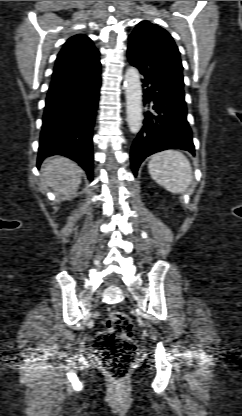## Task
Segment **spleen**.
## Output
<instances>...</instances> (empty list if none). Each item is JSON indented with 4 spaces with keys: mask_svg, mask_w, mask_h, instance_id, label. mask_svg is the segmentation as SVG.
Segmentation results:
<instances>
[{
    "mask_svg": "<svg viewBox=\"0 0 242 416\" xmlns=\"http://www.w3.org/2000/svg\"><path fill=\"white\" fill-rule=\"evenodd\" d=\"M149 174L154 181L172 193H184L192 182V167L184 154L165 150L151 157Z\"/></svg>",
    "mask_w": 242,
    "mask_h": 416,
    "instance_id": "3e777b00",
    "label": "spleen"
}]
</instances>
